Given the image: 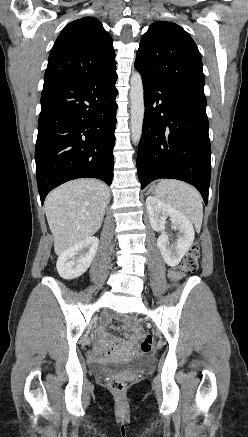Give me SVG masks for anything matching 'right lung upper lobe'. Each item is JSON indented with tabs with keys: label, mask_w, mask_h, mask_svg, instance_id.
Instances as JSON below:
<instances>
[{
	"label": "right lung upper lobe",
	"mask_w": 248,
	"mask_h": 437,
	"mask_svg": "<svg viewBox=\"0 0 248 437\" xmlns=\"http://www.w3.org/2000/svg\"><path fill=\"white\" fill-rule=\"evenodd\" d=\"M115 68L110 34L98 19L83 17L69 23L58 36L49 55L44 83L88 80Z\"/></svg>",
	"instance_id": "1"
}]
</instances>
